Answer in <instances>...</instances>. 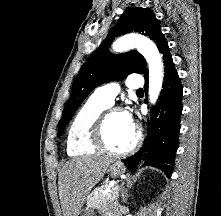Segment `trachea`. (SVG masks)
Here are the masks:
<instances>
[{
	"mask_svg": "<svg viewBox=\"0 0 221 216\" xmlns=\"http://www.w3.org/2000/svg\"><path fill=\"white\" fill-rule=\"evenodd\" d=\"M137 93H143V89L137 90Z\"/></svg>",
	"mask_w": 221,
	"mask_h": 216,
	"instance_id": "1",
	"label": "trachea"
}]
</instances>
